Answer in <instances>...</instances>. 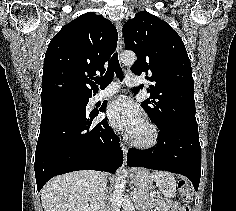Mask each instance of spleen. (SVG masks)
<instances>
[{
  "label": "spleen",
  "instance_id": "spleen-1",
  "mask_svg": "<svg viewBox=\"0 0 236 211\" xmlns=\"http://www.w3.org/2000/svg\"><path fill=\"white\" fill-rule=\"evenodd\" d=\"M152 181L167 198L176 196V180L174 174L165 171H156L150 174Z\"/></svg>",
  "mask_w": 236,
  "mask_h": 211
}]
</instances>
